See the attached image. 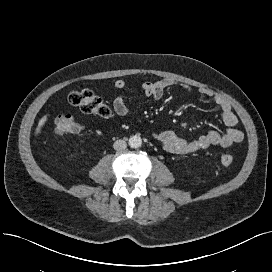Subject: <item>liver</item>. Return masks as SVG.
Segmentation results:
<instances>
[{"instance_id": "obj_1", "label": "liver", "mask_w": 272, "mask_h": 272, "mask_svg": "<svg viewBox=\"0 0 272 272\" xmlns=\"http://www.w3.org/2000/svg\"><path fill=\"white\" fill-rule=\"evenodd\" d=\"M47 116L48 115H44L40 120H39V123H38V126L35 130V135H38L39 133H41V128L43 127V125L47 122Z\"/></svg>"}]
</instances>
